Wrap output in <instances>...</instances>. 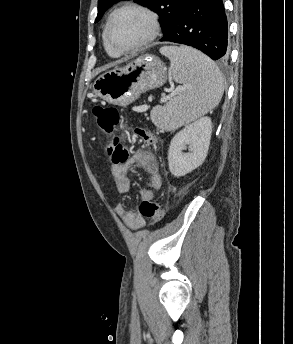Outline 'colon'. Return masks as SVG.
<instances>
[{
  "instance_id": "1",
  "label": "colon",
  "mask_w": 293,
  "mask_h": 344,
  "mask_svg": "<svg viewBox=\"0 0 293 344\" xmlns=\"http://www.w3.org/2000/svg\"><path fill=\"white\" fill-rule=\"evenodd\" d=\"M92 117L98 132L107 140L106 153L111 164L113 166L126 164L129 159V149L125 145L128 134H124L122 137L115 136L121 120L120 111L115 107L95 106L92 109ZM135 137L146 146H154L156 144L155 136L146 129L136 128ZM139 210L143 216L151 218L155 223L161 221L164 215L160 203L154 200L142 201Z\"/></svg>"
}]
</instances>
